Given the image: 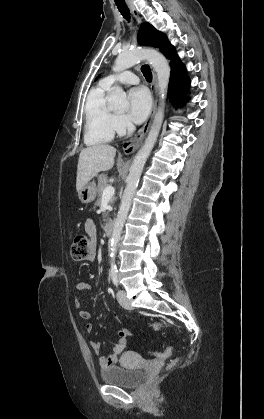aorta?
I'll return each mask as SVG.
<instances>
[{
	"mask_svg": "<svg viewBox=\"0 0 264 419\" xmlns=\"http://www.w3.org/2000/svg\"><path fill=\"white\" fill-rule=\"evenodd\" d=\"M142 60L148 61L154 68L158 78V90L160 95L159 106L155 113L150 131L144 145L136 154L127 179L117 218L114 223L110 244L111 266L115 267V254L119 244L123 226L129 212L133 196L139 183V179L146 160L153 149L164 118L165 98L170 78V67L166 58L155 50L138 49L121 53L115 60L113 71L120 72L128 69ZM108 106L112 109H121L128 106L126 93L119 86H114L108 99Z\"/></svg>",
	"mask_w": 264,
	"mask_h": 419,
	"instance_id": "aorta-1",
	"label": "aorta"
}]
</instances>
